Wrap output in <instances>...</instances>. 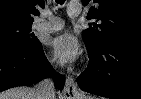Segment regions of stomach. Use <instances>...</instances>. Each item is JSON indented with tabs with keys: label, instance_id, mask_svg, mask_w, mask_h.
I'll return each mask as SVG.
<instances>
[{
	"label": "stomach",
	"instance_id": "1",
	"mask_svg": "<svg viewBox=\"0 0 141 99\" xmlns=\"http://www.w3.org/2000/svg\"><path fill=\"white\" fill-rule=\"evenodd\" d=\"M70 99H87V98L71 97Z\"/></svg>",
	"mask_w": 141,
	"mask_h": 99
}]
</instances>
